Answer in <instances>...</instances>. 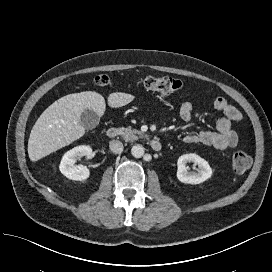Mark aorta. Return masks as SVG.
<instances>
[{"mask_svg": "<svg viewBox=\"0 0 272 272\" xmlns=\"http://www.w3.org/2000/svg\"><path fill=\"white\" fill-rule=\"evenodd\" d=\"M144 147L142 145L136 144L131 149V154L135 158H141L144 155Z\"/></svg>", "mask_w": 272, "mask_h": 272, "instance_id": "obj_1", "label": "aorta"}]
</instances>
